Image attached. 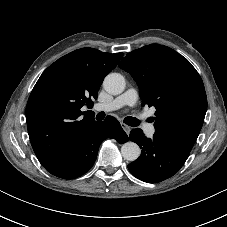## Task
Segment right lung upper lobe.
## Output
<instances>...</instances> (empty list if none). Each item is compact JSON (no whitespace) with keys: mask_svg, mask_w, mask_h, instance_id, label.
<instances>
[{"mask_svg":"<svg viewBox=\"0 0 227 227\" xmlns=\"http://www.w3.org/2000/svg\"><path fill=\"white\" fill-rule=\"evenodd\" d=\"M122 56L82 48L61 57L42 73L28 99L26 121L30 142L43 167L97 122L81 107L97 99L103 79Z\"/></svg>","mask_w":227,"mask_h":227,"instance_id":"cb5924a9","label":"right lung upper lobe"}]
</instances>
